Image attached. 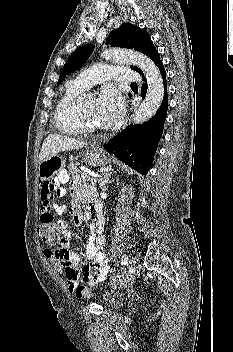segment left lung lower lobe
Masks as SVG:
<instances>
[{
  "label": "left lung lower lobe",
  "instance_id": "obj_1",
  "mask_svg": "<svg viewBox=\"0 0 233 352\" xmlns=\"http://www.w3.org/2000/svg\"><path fill=\"white\" fill-rule=\"evenodd\" d=\"M157 67L164 83V98L159 110L149 121L140 125H129L104 145L106 151L114 154L132 169L144 175L148 173L152 166L153 157L163 133L168 109L166 71L162 61L157 64ZM144 80L146 82L145 78ZM146 91L147 83L143 84L141 88L142 98L145 97Z\"/></svg>",
  "mask_w": 233,
  "mask_h": 352
}]
</instances>
